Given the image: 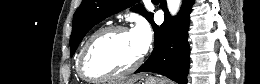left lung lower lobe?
Masks as SVG:
<instances>
[{
	"instance_id": "0a47b994",
	"label": "left lung lower lobe",
	"mask_w": 260,
	"mask_h": 84,
	"mask_svg": "<svg viewBox=\"0 0 260 84\" xmlns=\"http://www.w3.org/2000/svg\"><path fill=\"white\" fill-rule=\"evenodd\" d=\"M193 0H183L176 17L170 16L165 0L160 6L164 10V23L158 27L151 21L155 32V47L148 60L135 72L158 73L180 84L187 83L190 49L187 41L189 14Z\"/></svg>"
}]
</instances>
